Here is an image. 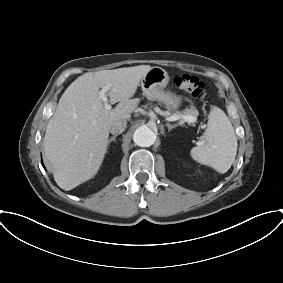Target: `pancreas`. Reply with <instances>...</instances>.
<instances>
[{"mask_svg": "<svg viewBox=\"0 0 283 283\" xmlns=\"http://www.w3.org/2000/svg\"><path fill=\"white\" fill-rule=\"evenodd\" d=\"M174 115H191L193 117H197L198 111L194 107H192L190 109H185L182 113L176 112Z\"/></svg>", "mask_w": 283, "mask_h": 283, "instance_id": "1", "label": "pancreas"}]
</instances>
